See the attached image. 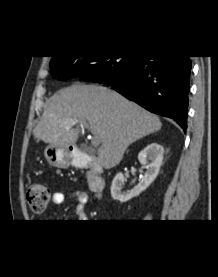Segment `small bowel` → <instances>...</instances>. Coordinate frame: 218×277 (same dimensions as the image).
Instances as JSON below:
<instances>
[{"label":"small bowel","mask_w":218,"mask_h":277,"mask_svg":"<svg viewBox=\"0 0 218 277\" xmlns=\"http://www.w3.org/2000/svg\"><path fill=\"white\" fill-rule=\"evenodd\" d=\"M69 198L76 202L75 212L80 221L87 219L86 205L88 203V195L80 190L71 189L66 192H55L52 195V202L54 205H61L65 199Z\"/></svg>","instance_id":"1"}]
</instances>
